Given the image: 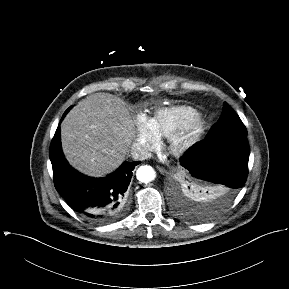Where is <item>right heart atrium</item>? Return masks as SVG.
Segmentation results:
<instances>
[{
    "instance_id": "obj_1",
    "label": "right heart atrium",
    "mask_w": 289,
    "mask_h": 289,
    "mask_svg": "<svg viewBox=\"0 0 289 289\" xmlns=\"http://www.w3.org/2000/svg\"><path fill=\"white\" fill-rule=\"evenodd\" d=\"M134 146L147 155L160 146V140L154 134L150 120L144 114H138L135 118Z\"/></svg>"
}]
</instances>
